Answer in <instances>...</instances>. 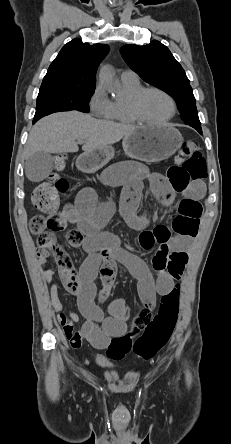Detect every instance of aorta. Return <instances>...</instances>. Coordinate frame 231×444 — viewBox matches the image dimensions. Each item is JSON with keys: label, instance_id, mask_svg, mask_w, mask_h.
<instances>
[{"label": "aorta", "instance_id": "aorta-1", "mask_svg": "<svg viewBox=\"0 0 231 444\" xmlns=\"http://www.w3.org/2000/svg\"><path fill=\"white\" fill-rule=\"evenodd\" d=\"M99 78L106 88L109 90L115 89L114 77L110 67H104L100 72Z\"/></svg>", "mask_w": 231, "mask_h": 444}]
</instances>
